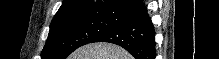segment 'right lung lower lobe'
I'll list each match as a JSON object with an SVG mask.
<instances>
[{
	"instance_id": "obj_1",
	"label": "right lung lower lobe",
	"mask_w": 219,
	"mask_h": 59,
	"mask_svg": "<svg viewBox=\"0 0 219 59\" xmlns=\"http://www.w3.org/2000/svg\"><path fill=\"white\" fill-rule=\"evenodd\" d=\"M124 19L93 42H109L125 48L136 59H155V31L141 0H124L113 7Z\"/></svg>"
}]
</instances>
